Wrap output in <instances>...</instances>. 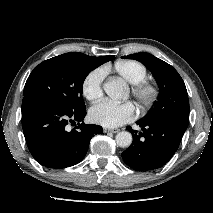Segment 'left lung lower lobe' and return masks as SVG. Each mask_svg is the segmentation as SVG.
I'll list each match as a JSON object with an SVG mask.
<instances>
[{
    "mask_svg": "<svg viewBox=\"0 0 213 213\" xmlns=\"http://www.w3.org/2000/svg\"><path fill=\"white\" fill-rule=\"evenodd\" d=\"M142 132L132 133L131 146L122 152L124 162L137 171L154 170L167 163L176 152L187 124L173 119L139 121Z\"/></svg>",
    "mask_w": 213,
    "mask_h": 213,
    "instance_id": "obj_1",
    "label": "left lung lower lobe"
}]
</instances>
